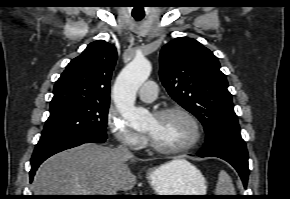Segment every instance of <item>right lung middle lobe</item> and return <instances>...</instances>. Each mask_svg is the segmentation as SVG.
<instances>
[{"label": "right lung middle lobe", "mask_w": 290, "mask_h": 199, "mask_svg": "<svg viewBox=\"0 0 290 199\" xmlns=\"http://www.w3.org/2000/svg\"><path fill=\"white\" fill-rule=\"evenodd\" d=\"M109 103H76L50 109L38 143L84 135L106 139Z\"/></svg>", "instance_id": "dd1d6c3e"}]
</instances>
